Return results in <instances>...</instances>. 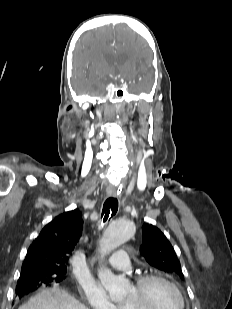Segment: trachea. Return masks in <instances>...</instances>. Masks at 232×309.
<instances>
[{
    "instance_id": "trachea-1",
    "label": "trachea",
    "mask_w": 232,
    "mask_h": 309,
    "mask_svg": "<svg viewBox=\"0 0 232 309\" xmlns=\"http://www.w3.org/2000/svg\"><path fill=\"white\" fill-rule=\"evenodd\" d=\"M118 210V200L114 197H109L102 209V215L101 217L103 218V222L105 223L110 217H113Z\"/></svg>"
}]
</instances>
